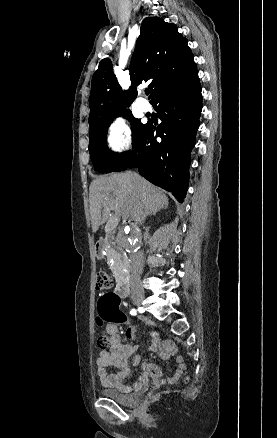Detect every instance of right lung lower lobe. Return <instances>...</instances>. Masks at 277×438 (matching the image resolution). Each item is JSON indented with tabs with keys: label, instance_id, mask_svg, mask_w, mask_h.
<instances>
[{
	"label": "right lung lower lobe",
	"instance_id": "obj_1",
	"mask_svg": "<svg viewBox=\"0 0 277 438\" xmlns=\"http://www.w3.org/2000/svg\"><path fill=\"white\" fill-rule=\"evenodd\" d=\"M150 102L162 122L157 127L151 122L145 124L133 151L114 172L137 167L143 177L183 202L189 182L190 152L202 110L197 68L162 87Z\"/></svg>",
	"mask_w": 277,
	"mask_h": 438
}]
</instances>
